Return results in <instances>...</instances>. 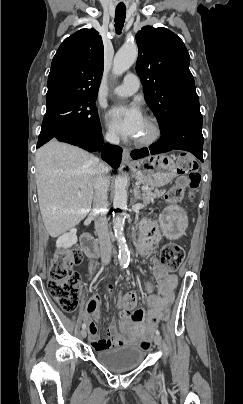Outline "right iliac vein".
I'll list each match as a JSON object with an SVG mask.
<instances>
[{"label":"right iliac vein","instance_id":"1","mask_svg":"<svg viewBox=\"0 0 243 404\" xmlns=\"http://www.w3.org/2000/svg\"><path fill=\"white\" fill-rule=\"evenodd\" d=\"M80 334H81L82 338H85L87 336V332L85 329H82Z\"/></svg>","mask_w":243,"mask_h":404}]
</instances>
